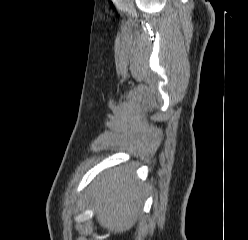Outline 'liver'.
I'll return each mask as SVG.
<instances>
[{"instance_id":"obj_1","label":"liver","mask_w":248,"mask_h":240,"mask_svg":"<svg viewBox=\"0 0 248 240\" xmlns=\"http://www.w3.org/2000/svg\"><path fill=\"white\" fill-rule=\"evenodd\" d=\"M143 194L144 187L130 166L102 174L92 188L98 223L115 234L130 230L139 215Z\"/></svg>"}]
</instances>
